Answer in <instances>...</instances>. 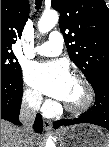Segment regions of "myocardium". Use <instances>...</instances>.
<instances>
[{"instance_id":"obj_1","label":"myocardium","mask_w":109,"mask_h":147,"mask_svg":"<svg viewBox=\"0 0 109 147\" xmlns=\"http://www.w3.org/2000/svg\"><path fill=\"white\" fill-rule=\"evenodd\" d=\"M72 78L79 80L87 90V98L85 102L80 106L73 107L65 102L63 103V109L66 112L77 115L86 112L92 106L95 100V90L91 82L87 79L85 75L76 72L72 74ZM47 113L49 115L53 114V112H50L49 110L47 111Z\"/></svg>"}]
</instances>
